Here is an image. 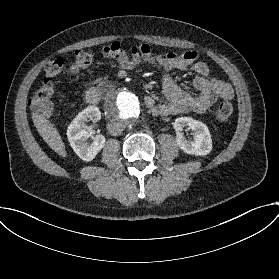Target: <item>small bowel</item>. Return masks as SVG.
Returning <instances> with one entry per match:
<instances>
[{"label":"small bowel","instance_id":"obj_1","mask_svg":"<svg viewBox=\"0 0 279 279\" xmlns=\"http://www.w3.org/2000/svg\"><path fill=\"white\" fill-rule=\"evenodd\" d=\"M103 55L116 62L124 71H131L142 62L159 66L163 70L162 91L167 101L158 104L148 96L144 103L155 116H169L187 111L205 112L218 98L230 99L233 96L231 85L225 81L208 78L209 66L198 60L196 51L178 53L170 51L156 53L147 44L132 47L126 52L119 42H113L103 49ZM190 69L197 74L193 86L197 93H191L180 88L169 75L170 70Z\"/></svg>","mask_w":279,"mask_h":279}]
</instances>
